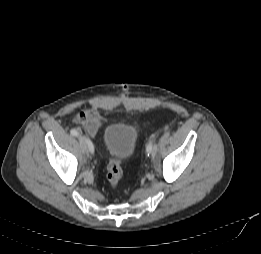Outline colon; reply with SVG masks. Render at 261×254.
Here are the masks:
<instances>
[{
    "mask_svg": "<svg viewBox=\"0 0 261 254\" xmlns=\"http://www.w3.org/2000/svg\"><path fill=\"white\" fill-rule=\"evenodd\" d=\"M123 170L119 159L110 158L107 164V181L112 188H116L122 178Z\"/></svg>",
    "mask_w": 261,
    "mask_h": 254,
    "instance_id": "colon-1",
    "label": "colon"
}]
</instances>
